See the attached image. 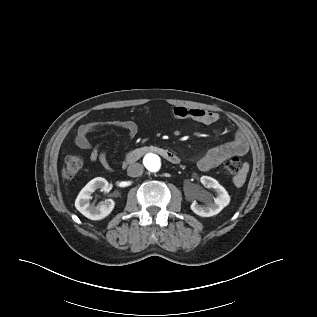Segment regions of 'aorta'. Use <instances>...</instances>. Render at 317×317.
<instances>
[{"label": "aorta", "instance_id": "obj_1", "mask_svg": "<svg viewBox=\"0 0 317 317\" xmlns=\"http://www.w3.org/2000/svg\"><path fill=\"white\" fill-rule=\"evenodd\" d=\"M144 164H145V167L151 172H156L161 167V161L159 157L154 154L146 155L144 158Z\"/></svg>", "mask_w": 317, "mask_h": 317}]
</instances>
